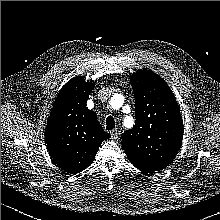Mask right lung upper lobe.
<instances>
[{"label":"right lung upper lobe","instance_id":"1","mask_svg":"<svg viewBox=\"0 0 220 220\" xmlns=\"http://www.w3.org/2000/svg\"><path fill=\"white\" fill-rule=\"evenodd\" d=\"M94 82L74 77L55 99L47 120L45 140L55 164L68 175L77 174L94 160L102 141L110 138L86 107Z\"/></svg>","mask_w":220,"mask_h":220}]
</instances>
